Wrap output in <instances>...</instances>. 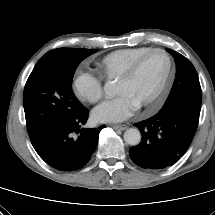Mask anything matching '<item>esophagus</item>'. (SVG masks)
<instances>
[{
	"mask_svg": "<svg viewBox=\"0 0 215 215\" xmlns=\"http://www.w3.org/2000/svg\"><path fill=\"white\" fill-rule=\"evenodd\" d=\"M112 128L113 129H116V130H125V129H127V126L126 125H124V124H122V125H112Z\"/></svg>",
	"mask_w": 215,
	"mask_h": 215,
	"instance_id": "esophagus-1",
	"label": "esophagus"
}]
</instances>
